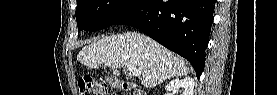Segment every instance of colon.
Segmentation results:
<instances>
[{
  "mask_svg": "<svg viewBox=\"0 0 277 95\" xmlns=\"http://www.w3.org/2000/svg\"><path fill=\"white\" fill-rule=\"evenodd\" d=\"M79 90L81 94L85 95H105L107 94V85L95 82L90 77H82L79 81Z\"/></svg>",
  "mask_w": 277,
  "mask_h": 95,
  "instance_id": "5ec220e1",
  "label": "colon"
}]
</instances>
